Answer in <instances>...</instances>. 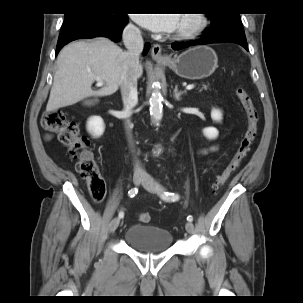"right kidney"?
Returning <instances> with one entry per match:
<instances>
[{"instance_id":"ca27d5eb","label":"right kidney","mask_w":303,"mask_h":303,"mask_svg":"<svg viewBox=\"0 0 303 303\" xmlns=\"http://www.w3.org/2000/svg\"><path fill=\"white\" fill-rule=\"evenodd\" d=\"M87 129L94 137H100L105 130L103 119L99 116L91 117L87 122Z\"/></svg>"}]
</instances>
